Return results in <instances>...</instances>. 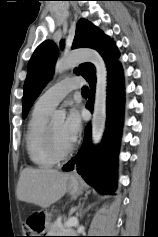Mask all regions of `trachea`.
<instances>
[{
	"label": "trachea",
	"mask_w": 158,
	"mask_h": 237,
	"mask_svg": "<svg viewBox=\"0 0 158 237\" xmlns=\"http://www.w3.org/2000/svg\"><path fill=\"white\" fill-rule=\"evenodd\" d=\"M81 92H82L83 95H89V89H88V87H86V86L83 87Z\"/></svg>",
	"instance_id": "obj_1"
}]
</instances>
